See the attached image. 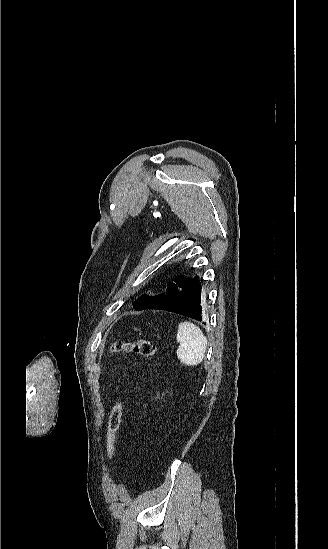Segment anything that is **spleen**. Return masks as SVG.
<instances>
[{
    "mask_svg": "<svg viewBox=\"0 0 328 549\" xmlns=\"http://www.w3.org/2000/svg\"><path fill=\"white\" fill-rule=\"evenodd\" d=\"M176 341L181 345L177 349V359L180 363L187 367H195L202 363L206 353L207 339L199 327L189 321L180 323Z\"/></svg>",
    "mask_w": 328,
    "mask_h": 549,
    "instance_id": "1",
    "label": "spleen"
}]
</instances>
